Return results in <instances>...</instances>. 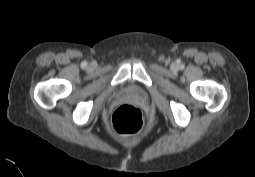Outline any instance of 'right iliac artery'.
<instances>
[{"label": "right iliac artery", "mask_w": 255, "mask_h": 177, "mask_svg": "<svg viewBox=\"0 0 255 177\" xmlns=\"http://www.w3.org/2000/svg\"><path fill=\"white\" fill-rule=\"evenodd\" d=\"M81 66H82V67H86V66H87V63H86V62H83V63L81 64Z\"/></svg>", "instance_id": "1"}]
</instances>
